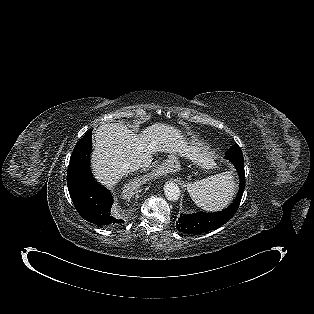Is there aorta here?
I'll return each mask as SVG.
<instances>
[{
  "mask_svg": "<svg viewBox=\"0 0 314 314\" xmlns=\"http://www.w3.org/2000/svg\"><path fill=\"white\" fill-rule=\"evenodd\" d=\"M164 194L168 200L176 201L180 197V188L174 182H167L164 185Z\"/></svg>",
  "mask_w": 314,
  "mask_h": 314,
  "instance_id": "aorta-1",
  "label": "aorta"
}]
</instances>
